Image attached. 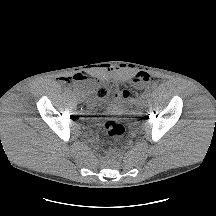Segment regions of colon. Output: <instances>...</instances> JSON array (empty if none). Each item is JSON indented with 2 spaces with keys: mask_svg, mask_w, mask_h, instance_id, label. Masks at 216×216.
<instances>
[{
  "mask_svg": "<svg viewBox=\"0 0 216 216\" xmlns=\"http://www.w3.org/2000/svg\"><path fill=\"white\" fill-rule=\"evenodd\" d=\"M143 75V80L147 79V75ZM95 94L97 98L99 99H104L109 95V87L105 82L100 81L97 85ZM104 129L107 133V135L115 142L119 141L124 133H125V128L124 126L117 120H107L104 123Z\"/></svg>",
  "mask_w": 216,
  "mask_h": 216,
  "instance_id": "colon-1",
  "label": "colon"
}]
</instances>
